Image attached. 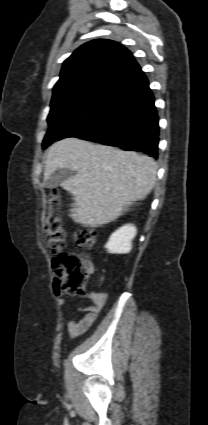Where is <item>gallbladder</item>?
<instances>
[{
    "label": "gallbladder",
    "mask_w": 208,
    "mask_h": 425,
    "mask_svg": "<svg viewBox=\"0 0 208 425\" xmlns=\"http://www.w3.org/2000/svg\"><path fill=\"white\" fill-rule=\"evenodd\" d=\"M74 174L73 170L67 168H60L56 170L50 178L44 183L46 188L52 189L60 186L67 179L71 178Z\"/></svg>",
    "instance_id": "1"
}]
</instances>
